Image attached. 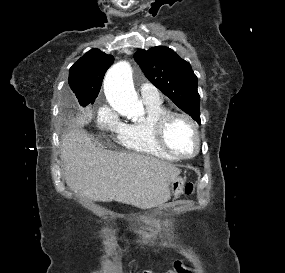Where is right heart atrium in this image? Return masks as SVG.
Wrapping results in <instances>:
<instances>
[{
  "mask_svg": "<svg viewBox=\"0 0 285 273\" xmlns=\"http://www.w3.org/2000/svg\"><path fill=\"white\" fill-rule=\"evenodd\" d=\"M96 122L102 130L117 132L120 127L116 111L106 104L98 108Z\"/></svg>",
  "mask_w": 285,
  "mask_h": 273,
  "instance_id": "d8ad5b80",
  "label": "right heart atrium"
}]
</instances>
